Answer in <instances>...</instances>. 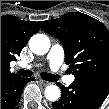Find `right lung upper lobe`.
<instances>
[{
  "label": "right lung upper lobe",
  "instance_id": "1",
  "mask_svg": "<svg viewBox=\"0 0 109 109\" xmlns=\"http://www.w3.org/2000/svg\"><path fill=\"white\" fill-rule=\"evenodd\" d=\"M38 30V22L23 21L11 15L1 16V80L16 75L10 72L9 64Z\"/></svg>",
  "mask_w": 109,
  "mask_h": 109
}]
</instances>
